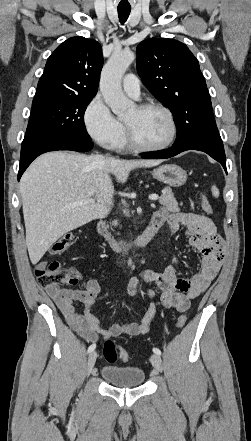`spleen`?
<instances>
[{
	"label": "spleen",
	"mask_w": 251,
	"mask_h": 441,
	"mask_svg": "<svg viewBox=\"0 0 251 441\" xmlns=\"http://www.w3.org/2000/svg\"><path fill=\"white\" fill-rule=\"evenodd\" d=\"M211 191H212V195L214 196V197H218L219 196V194H220V192H219V190H218V188L216 187V186H212V188H211Z\"/></svg>",
	"instance_id": "obj_1"
}]
</instances>
